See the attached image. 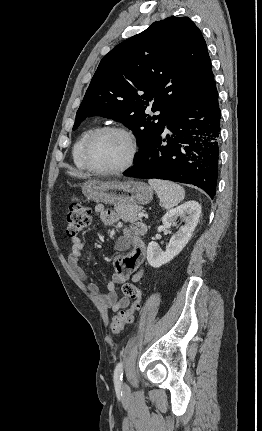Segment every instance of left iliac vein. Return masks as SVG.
I'll list each match as a JSON object with an SVG mask.
<instances>
[{"instance_id":"1","label":"left iliac vein","mask_w":262,"mask_h":431,"mask_svg":"<svg viewBox=\"0 0 262 431\" xmlns=\"http://www.w3.org/2000/svg\"><path fill=\"white\" fill-rule=\"evenodd\" d=\"M123 388H126V384L123 383Z\"/></svg>"}]
</instances>
